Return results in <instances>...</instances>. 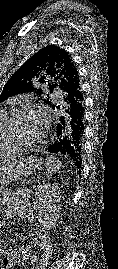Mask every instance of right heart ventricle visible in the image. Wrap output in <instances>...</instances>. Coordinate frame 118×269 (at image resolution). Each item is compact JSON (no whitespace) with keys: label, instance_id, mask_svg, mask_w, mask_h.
Here are the masks:
<instances>
[{"label":"right heart ventricle","instance_id":"e07e8e85","mask_svg":"<svg viewBox=\"0 0 118 269\" xmlns=\"http://www.w3.org/2000/svg\"><path fill=\"white\" fill-rule=\"evenodd\" d=\"M8 114H9L8 110L0 109V127H1V124L3 123V121L5 120V118L7 117ZM19 152H21L20 149L5 147L3 145V141H2V139L0 137V158L5 157V156H11V155L17 154Z\"/></svg>","mask_w":118,"mask_h":269}]
</instances>
